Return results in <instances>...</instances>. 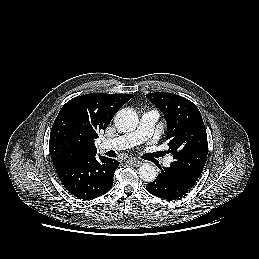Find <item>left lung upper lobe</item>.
I'll list each match as a JSON object with an SVG mask.
<instances>
[{
    "instance_id": "obj_1",
    "label": "left lung upper lobe",
    "mask_w": 259,
    "mask_h": 259,
    "mask_svg": "<svg viewBox=\"0 0 259 259\" xmlns=\"http://www.w3.org/2000/svg\"><path fill=\"white\" fill-rule=\"evenodd\" d=\"M167 121L172 166L197 180L207 160L208 142L202 116L190 100L168 92L146 94Z\"/></svg>"
}]
</instances>
